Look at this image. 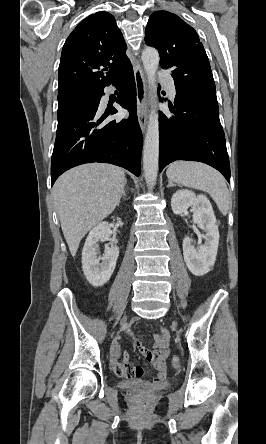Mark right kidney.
Listing matches in <instances>:
<instances>
[{
	"instance_id": "right-kidney-1",
	"label": "right kidney",
	"mask_w": 266,
	"mask_h": 444,
	"mask_svg": "<svg viewBox=\"0 0 266 444\" xmlns=\"http://www.w3.org/2000/svg\"><path fill=\"white\" fill-rule=\"evenodd\" d=\"M112 231L108 222L97 224L90 232L82 250V268L87 281L95 286H103L114 272L119 255L117 246H105L102 257L99 254V242L109 240Z\"/></svg>"
}]
</instances>
